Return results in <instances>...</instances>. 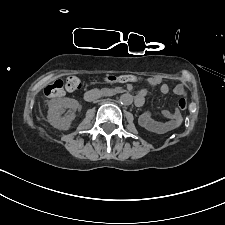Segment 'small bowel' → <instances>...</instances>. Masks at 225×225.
<instances>
[{"label": "small bowel", "mask_w": 225, "mask_h": 225, "mask_svg": "<svg viewBox=\"0 0 225 225\" xmlns=\"http://www.w3.org/2000/svg\"><path fill=\"white\" fill-rule=\"evenodd\" d=\"M149 82L152 86H158L161 84V79L158 77H153L149 80ZM160 91L163 95L168 94L170 91L169 85L162 84L160 86ZM146 92L147 90L143 89L136 96L142 98L144 101ZM174 93L177 95H185L186 90L184 85L182 83L177 84L174 88ZM161 115L166 119V121H157L152 117L150 112H145L140 117V123L146 130L150 132L164 133L178 127L183 120L181 113L177 109L172 111L163 110Z\"/></svg>", "instance_id": "small-bowel-1"}]
</instances>
